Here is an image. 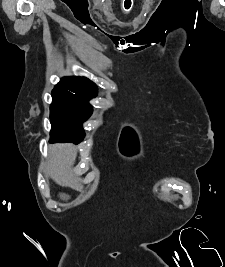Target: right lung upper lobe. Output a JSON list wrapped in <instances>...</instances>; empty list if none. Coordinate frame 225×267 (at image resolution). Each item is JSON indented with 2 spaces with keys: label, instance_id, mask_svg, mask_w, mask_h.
<instances>
[{
  "label": "right lung upper lobe",
  "instance_id": "right-lung-upper-lobe-1",
  "mask_svg": "<svg viewBox=\"0 0 225 267\" xmlns=\"http://www.w3.org/2000/svg\"><path fill=\"white\" fill-rule=\"evenodd\" d=\"M56 87H63L78 92L87 99L97 95V86L95 83L83 77H64L60 80Z\"/></svg>",
  "mask_w": 225,
  "mask_h": 267
}]
</instances>
